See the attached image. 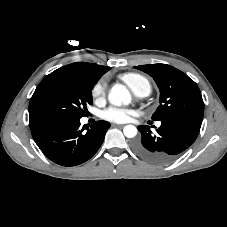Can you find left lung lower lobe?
<instances>
[{"label": "left lung lower lobe", "instance_id": "0a47b994", "mask_svg": "<svg viewBox=\"0 0 227 227\" xmlns=\"http://www.w3.org/2000/svg\"><path fill=\"white\" fill-rule=\"evenodd\" d=\"M160 121L156 133L148 126H139L142 138L134 144L140 157L157 164L167 163L186 150L197 138L202 124V120L193 117H171Z\"/></svg>", "mask_w": 227, "mask_h": 227}]
</instances>
